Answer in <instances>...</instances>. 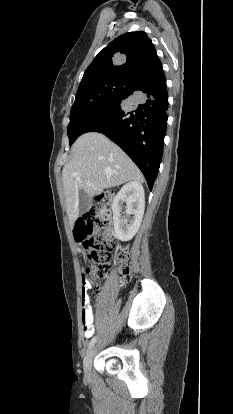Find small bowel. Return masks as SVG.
I'll return each instance as SVG.
<instances>
[{"mask_svg": "<svg viewBox=\"0 0 233 414\" xmlns=\"http://www.w3.org/2000/svg\"><path fill=\"white\" fill-rule=\"evenodd\" d=\"M81 288H82V327H83V334L86 338H90L94 334V324H93V311L90 305V297L88 294V290L92 289V284L89 283L90 279L88 278L87 271L81 270Z\"/></svg>", "mask_w": 233, "mask_h": 414, "instance_id": "c3829d8e", "label": "small bowel"}]
</instances>
